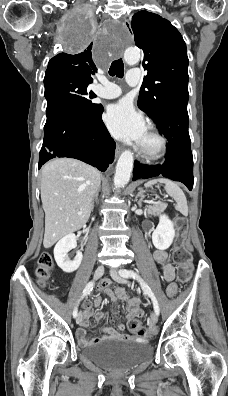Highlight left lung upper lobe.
Returning <instances> with one entry per match:
<instances>
[{
    "label": "left lung upper lobe",
    "mask_w": 228,
    "mask_h": 396,
    "mask_svg": "<svg viewBox=\"0 0 228 396\" xmlns=\"http://www.w3.org/2000/svg\"><path fill=\"white\" fill-rule=\"evenodd\" d=\"M131 28L147 71L138 107L157 122L164 108L189 99L186 44L168 20L145 10L133 15Z\"/></svg>",
    "instance_id": "1"
}]
</instances>
